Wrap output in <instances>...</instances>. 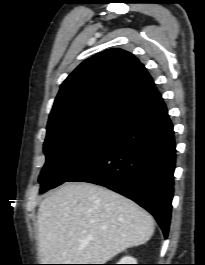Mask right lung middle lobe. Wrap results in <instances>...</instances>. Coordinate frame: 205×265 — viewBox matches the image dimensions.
Returning a JSON list of instances; mask_svg holds the SVG:
<instances>
[{
    "mask_svg": "<svg viewBox=\"0 0 205 265\" xmlns=\"http://www.w3.org/2000/svg\"><path fill=\"white\" fill-rule=\"evenodd\" d=\"M122 125L98 122L71 130L47 133L46 163L39 176L40 193L63 182L95 158L119 132Z\"/></svg>",
    "mask_w": 205,
    "mask_h": 265,
    "instance_id": "right-lung-middle-lobe-1",
    "label": "right lung middle lobe"
}]
</instances>
